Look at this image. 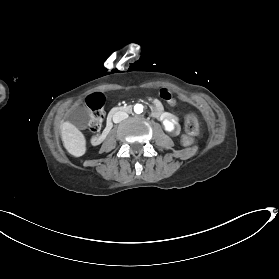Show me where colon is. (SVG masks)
<instances>
[{
  "mask_svg": "<svg viewBox=\"0 0 279 279\" xmlns=\"http://www.w3.org/2000/svg\"><path fill=\"white\" fill-rule=\"evenodd\" d=\"M103 118H104V114L101 109H98L94 112L89 124V129L91 132L95 133L100 130L102 126ZM185 127L189 135V137L186 138V141L190 143L192 141L191 136L197 135L200 131V124L196 115L194 114L187 115L185 121Z\"/></svg>",
  "mask_w": 279,
  "mask_h": 279,
  "instance_id": "5ec220e1",
  "label": "colon"
}]
</instances>
